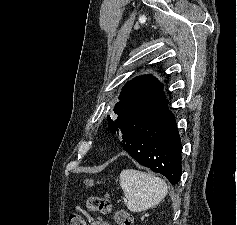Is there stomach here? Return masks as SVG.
Here are the masks:
<instances>
[{
    "mask_svg": "<svg viewBox=\"0 0 237 225\" xmlns=\"http://www.w3.org/2000/svg\"><path fill=\"white\" fill-rule=\"evenodd\" d=\"M93 180H87L86 181V185H88V186H93Z\"/></svg>",
    "mask_w": 237,
    "mask_h": 225,
    "instance_id": "0dacf381",
    "label": "stomach"
}]
</instances>
